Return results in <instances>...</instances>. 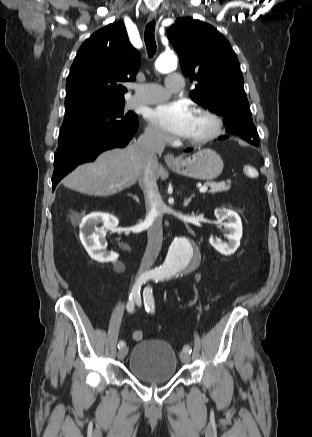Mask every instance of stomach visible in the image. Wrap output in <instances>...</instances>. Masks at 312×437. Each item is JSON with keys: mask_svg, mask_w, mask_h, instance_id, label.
<instances>
[{"mask_svg": "<svg viewBox=\"0 0 312 437\" xmlns=\"http://www.w3.org/2000/svg\"><path fill=\"white\" fill-rule=\"evenodd\" d=\"M223 166L219 154L208 148L181 158L175 164H169L170 169L177 174L199 180L217 178L222 173Z\"/></svg>", "mask_w": 312, "mask_h": 437, "instance_id": "stomach-1", "label": "stomach"}]
</instances>
